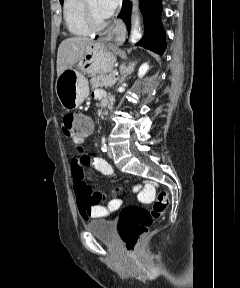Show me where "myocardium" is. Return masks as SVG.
<instances>
[{"label":"myocardium","instance_id":"myocardium-1","mask_svg":"<svg viewBox=\"0 0 240 288\" xmlns=\"http://www.w3.org/2000/svg\"><path fill=\"white\" fill-rule=\"evenodd\" d=\"M83 11L86 25L91 31H99L107 26V20L97 21L95 19L87 0H83Z\"/></svg>","mask_w":240,"mask_h":288}]
</instances>
